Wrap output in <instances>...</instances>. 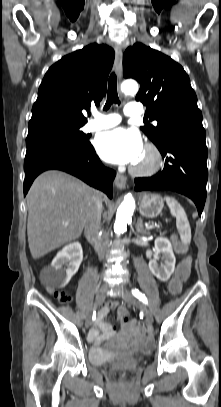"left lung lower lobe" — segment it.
<instances>
[{"label": "left lung lower lobe", "mask_w": 221, "mask_h": 407, "mask_svg": "<svg viewBox=\"0 0 221 407\" xmlns=\"http://www.w3.org/2000/svg\"><path fill=\"white\" fill-rule=\"evenodd\" d=\"M203 127L171 128L156 145L165 164L157 175L135 179V190H172L191 198L201 215L206 200L208 149Z\"/></svg>", "instance_id": "0a47b994"}]
</instances>
